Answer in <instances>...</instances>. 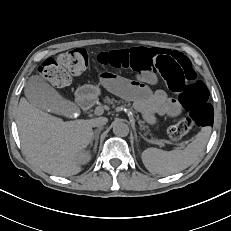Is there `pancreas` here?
Here are the masks:
<instances>
[{
    "label": "pancreas",
    "instance_id": "cf45deb5",
    "mask_svg": "<svg viewBox=\"0 0 231 231\" xmlns=\"http://www.w3.org/2000/svg\"><path fill=\"white\" fill-rule=\"evenodd\" d=\"M104 103L112 106V107H115V106H122V107H126L128 108L129 111L131 112H135L133 110V108L131 107V104L130 103H126L124 101H121V100H116L115 98H110L108 96H106L104 99H103ZM137 119H139V116L137 115L136 116ZM138 125H139V128L143 131H145V134H148L149 133V126L145 123L144 120H141L139 119L138 120Z\"/></svg>",
    "mask_w": 231,
    "mask_h": 231
}]
</instances>
